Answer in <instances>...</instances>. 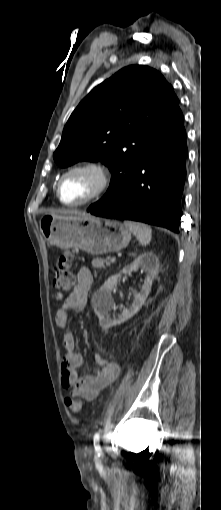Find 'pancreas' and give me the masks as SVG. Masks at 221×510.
<instances>
[{"label": "pancreas", "instance_id": "cf45deb5", "mask_svg": "<svg viewBox=\"0 0 221 510\" xmlns=\"http://www.w3.org/2000/svg\"><path fill=\"white\" fill-rule=\"evenodd\" d=\"M106 265L110 266V264L108 262L106 263ZM92 266L96 269L105 268V261L103 259H99V258L93 259Z\"/></svg>", "mask_w": 221, "mask_h": 510}]
</instances>
